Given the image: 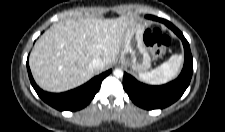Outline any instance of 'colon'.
I'll return each instance as SVG.
<instances>
[{
  "instance_id": "colon-1",
  "label": "colon",
  "mask_w": 225,
  "mask_h": 132,
  "mask_svg": "<svg viewBox=\"0 0 225 132\" xmlns=\"http://www.w3.org/2000/svg\"><path fill=\"white\" fill-rule=\"evenodd\" d=\"M143 40L155 57H161L171 50L170 38L159 29L146 30Z\"/></svg>"
}]
</instances>
